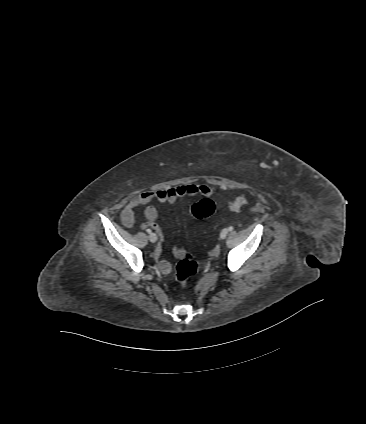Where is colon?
I'll use <instances>...</instances> for the list:
<instances>
[{"instance_id": "1", "label": "colon", "mask_w": 366, "mask_h": 424, "mask_svg": "<svg viewBox=\"0 0 366 424\" xmlns=\"http://www.w3.org/2000/svg\"><path fill=\"white\" fill-rule=\"evenodd\" d=\"M247 203V195L241 194L234 201L229 203V210L232 212L239 211ZM215 204L211 199L205 198L195 203L190 210L193 217L197 219H205L213 214ZM197 272V263L189 252L180 255L175 267V278L182 288H185L188 279Z\"/></svg>"}]
</instances>
